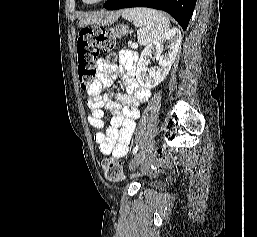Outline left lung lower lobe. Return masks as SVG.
<instances>
[{
  "label": "left lung lower lobe",
  "mask_w": 257,
  "mask_h": 237,
  "mask_svg": "<svg viewBox=\"0 0 257 237\" xmlns=\"http://www.w3.org/2000/svg\"><path fill=\"white\" fill-rule=\"evenodd\" d=\"M196 0H109L104 7L117 10L131 7H149L168 12L186 30L195 8Z\"/></svg>",
  "instance_id": "1"
}]
</instances>
